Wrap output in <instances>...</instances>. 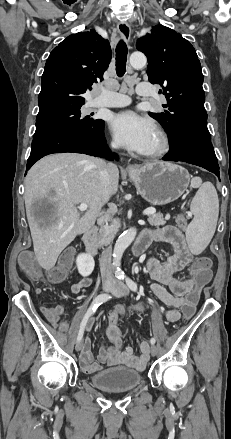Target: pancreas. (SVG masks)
<instances>
[{
    "mask_svg": "<svg viewBox=\"0 0 231 439\" xmlns=\"http://www.w3.org/2000/svg\"><path fill=\"white\" fill-rule=\"evenodd\" d=\"M148 222L150 225L159 227L166 223V219L161 213L149 215ZM120 227L119 220H110L99 231L98 242L100 245L108 244L113 238Z\"/></svg>",
    "mask_w": 231,
    "mask_h": 439,
    "instance_id": "obj_1",
    "label": "pancreas"
}]
</instances>
